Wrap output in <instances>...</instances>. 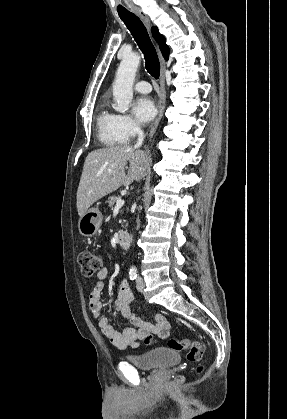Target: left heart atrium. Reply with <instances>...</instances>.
Listing matches in <instances>:
<instances>
[{"instance_id": "left-heart-atrium-1", "label": "left heart atrium", "mask_w": 287, "mask_h": 419, "mask_svg": "<svg viewBox=\"0 0 287 419\" xmlns=\"http://www.w3.org/2000/svg\"><path fill=\"white\" fill-rule=\"evenodd\" d=\"M133 112L140 122L146 123L155 116L156 108L151 98L140 97L133 104Z\"/></svg>"}]
</instances>
